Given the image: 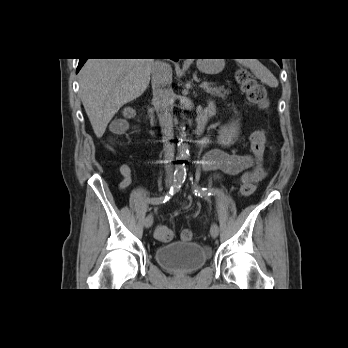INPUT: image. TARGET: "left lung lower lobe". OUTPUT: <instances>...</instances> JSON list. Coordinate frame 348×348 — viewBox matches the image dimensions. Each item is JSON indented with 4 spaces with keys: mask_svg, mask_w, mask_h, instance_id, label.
<instances>
[{
    "mask_svg": "<svg viewBox=\"0 0 348 348\" xmlns=\"http://www.w3.org/2000/svg\"><path fill=\"white\" fill-rule=\"evenodd\" d=\"M278 62V64L280 65V67H282V62H281V59L279 60H276Z\"/></svg>",
    "mask_w": 348,
    "mask_h": 348,
    "instance_id": "0a47b994",
    "label": "left lung lower lobe"
}]
</instances>
